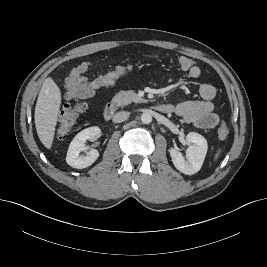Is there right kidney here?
I'll use <instances>...</instances> for the list:
<instances>
[{"label": "right kidney", "mask_w": 267, "mask_h": 267, "mask_svg": "<svg viewBox=\"0 0 267 267\" xmlns=\"http://www.w3.org/2000/svg\"><path fill=\"white\" fill-rule=\"evenodd\" d=\"M100 132L99 127H89L79 132L69 145L66 156L67 164L76 169L91 166L99 157V152L91 149L86 156L80 155V153L86 151V140H93Z\"/></svg>", "instance_id": "1"}]
</instances>
